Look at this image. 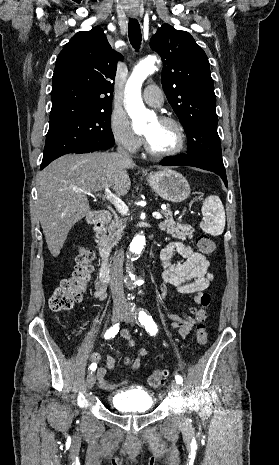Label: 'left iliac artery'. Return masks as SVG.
<instances>
[{"label": "left iliac artery", "instance_id": "obj_1", "mask_svg": "<svg viewBox=\"0 0 279 465\" xmlns=\"http://www.w3.org/2000/svg\"><path fill=\"white\" fill-rule=\"evenodd\" d=\"M138 319H139V322L146 328L147 332L150 335H152V336L156 335V333L158 332V328H157V325L155 324V322L153 321L152 317L149 314H147L145 311L141 310V311H139ZM175 380L179 384H182V382H183V379H182V377L180 375H176Z\"/></svg>", "mask_w": 279, "mask_h": 465}]
</instances>
